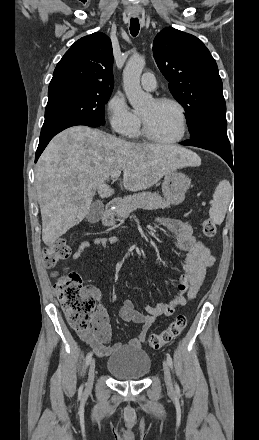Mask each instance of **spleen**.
Returning a JSON list of instances; mask_svg holds the SVG:
<instances>
[{
	"label": "spleen",
	"mask_w": 259,
	"mask_h": 440,
	"mask_svg": "<svg viewBox=\"0 0 259 440\" xmlns=\"http://www.w3.org/2000/svg\"><path fill=\"white\" fill-rule=\"evenodd\" d=\"M231 196L232 186L229 181H220L215 189L213 204L209 210L210 218L215 224L220 225L223 222Z\"/></svg>",
	"instance_id": "obj_1"
}]
</instances>
